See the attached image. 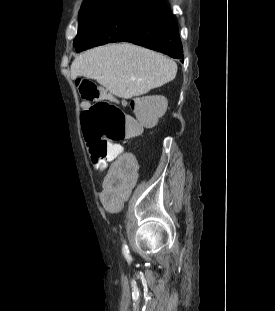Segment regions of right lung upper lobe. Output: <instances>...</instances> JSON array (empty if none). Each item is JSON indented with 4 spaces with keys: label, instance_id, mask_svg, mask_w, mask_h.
I'll list each match as a JSON object with an SVG mask.
<instances>
[{
    "label": "right lung upper lobe",
    "instance_id": "obj_1",
    "mask_svg": "<svg viewBox=\"0 0 275 311\" xmlns=\"http://www.w3.org/2000/svg\"><path fill=\"white\" fill-rule=\"evenodd\" d=\"M149 1L160 2V3H163L165 5V2L163 0H149Z\"/></svg>",
    "mask_w": 275,
    "mask_h": 311
}]
</instances>
